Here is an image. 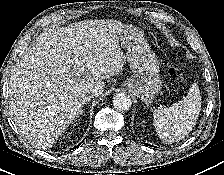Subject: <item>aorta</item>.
<instances>
[{
  "mask_svg": "<svg viewBox=\"0 0 224 175\" xmlns=\"http://www.w3.org/2000/svg\"><path fill=\"white\" fill-rule=\"evenodd\" d=\"M113 105L115 109L120 111L129 110L132 105L131 98L124 93H119L113 98Z\"/></svg>",
  "mask_w": 224,
  "mask_h": 175,
  "instance_id": "aorta-1",
  "label": "aorta"
}]
</instances>
